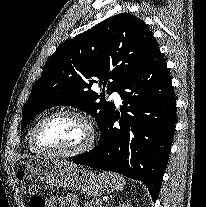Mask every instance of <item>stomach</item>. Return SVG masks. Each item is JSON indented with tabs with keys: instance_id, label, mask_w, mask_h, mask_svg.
Here are the masks:
<instances>
[{
	"instance_id": "0dacf381",
	"label": "stomach",
	"mask_w": 206,
	"mask_h": 207,
	"mask_svg": "<svg viewBox=\"0 0 206 207\" xmlns=\"http://www.w3.org/2000/svg\"><path fill=\"white\" fill-rule=\"evenodd\" d=\"M26 169L49 186L70 189L90 197L112 190L111 181L82 166L56 159L37 158L26 162Z\"/></svg>"
}]
</instances>
